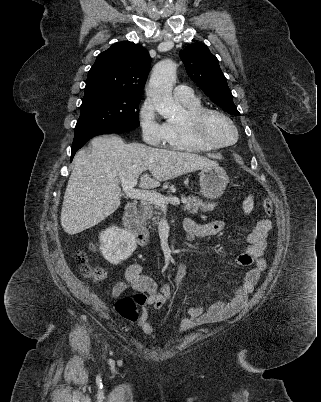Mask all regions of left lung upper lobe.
I'll return each mask as SVG.
<instances>
[{
	"mask_svg": "<svg viewBox=\"0 0 321 402\" xmlns=\"http://www.w3.org/2000/svg\"><path fill=\"white\" fill-rule=\"evenodd\" d=\"M185 69L191 79L218 106L235 116L240 115L222 73L218 59L202 43L188 45L180 51Z\"/></svg>",
	"mask_w": 321,
	"mask_h": 402,
	"instance_id": "1",
	"label": "left lung upper lobe"
}]
</instances>
